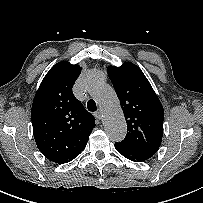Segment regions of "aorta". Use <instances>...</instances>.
<instances>
[{"instance_id":"1","label":"aorta","mask_w":203,"mask_h":203,"mask_svg":"<svg viewBox=\"0 0 203 203\" xmlns=\"http://www.w3.org/2000/svg\"><path fill=\"white\" fill-rule=\"evenodd\" d=\"M86 88L101 109L104 128L109 139L113 142L122 141L127 133V124L114 89L95 76L87 80Z\"/></svg>"}]
</instances>
